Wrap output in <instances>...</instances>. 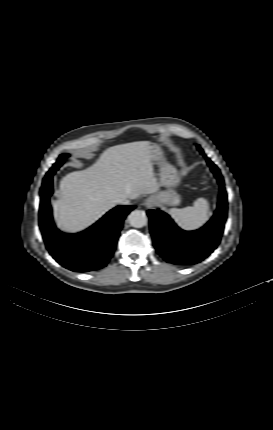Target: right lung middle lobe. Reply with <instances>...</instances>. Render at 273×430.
<instances>
[{
    "mask_svg": "<svg viewBox=\"0 0 273 430\" xmlns=\"http://www.w3.org/2000/svg\"><path fill=\"white\" fill-rule=\"evenodd\" d=\"M68 156H69V154L60 155L57 162L53 165V167L49 170V172L55 173V171L58 170L59 167L63 164L64 159Z\"/></svg>",
    "mask_w": 273,
    "mask_h": 430,
    "instance_id": "1",
    "label": "right lung middle lobe"
}]
</instances>
